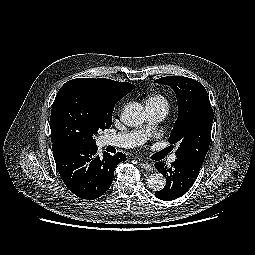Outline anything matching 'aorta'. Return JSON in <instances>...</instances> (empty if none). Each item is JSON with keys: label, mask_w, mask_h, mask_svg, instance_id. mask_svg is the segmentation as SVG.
<instances>
[{"label": "aorta", "mask_w": 255, "mask_h": 255, "mask_svg": "<svg viewBox=\"0 0 255 255\" xmlns=\"http://www.w3.org/2000/svg\"><path fill=\"white\" fill-rule=\"evenodd\" d=\"M146 120L144 107L138 102L127 104L122 113L121 121L131 127L143 124ZM147 184L154 191L162 190L166 185V178L161 173H152L148 176Z\"/></svg>", "instance_id": "1"}]
</instances>
